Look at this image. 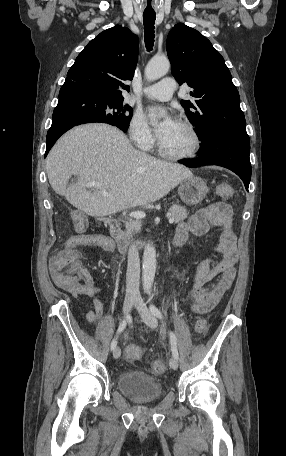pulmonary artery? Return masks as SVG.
I'll return each mask as SVG.
<instances>
[{"mask_svg":"<svg viewBox=\"0 0 286 456\" xmlns=\"http://www.w3.org/2000/svg\"><path fill=\"white\" fill-rule=\"evenodd\" d=\"M175 89L174 79L165 77L159 83L144 88L142 94L150 99L168 101L172 98Z\"/></svg>","mask_w":286,"mask_h":456,"instance_id":"pulmonary-artery-1","label":"pulmonary artery"}]
</instances>
